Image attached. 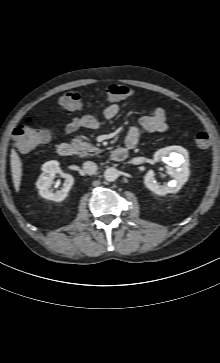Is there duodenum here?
<instances>
[{
	"label": "duodenum",
	"instance_id": "1",
	"mask_svg": "<svg viewBox=\"0 0 220 363\" xmlns=\"http://www.w3.org/2000/svg\"><path fill=\"white\" fill-rule=\"evenodd\" d=\"M57 153L62 157L71 156L74 153V146L70 142H61L57 146ZM128 151L125 148H115L111 151V159L115 162H122L127 158Z\"/></svg>",
	"mask_w": 220,
	"mask_h": 363
}]
</instances>
